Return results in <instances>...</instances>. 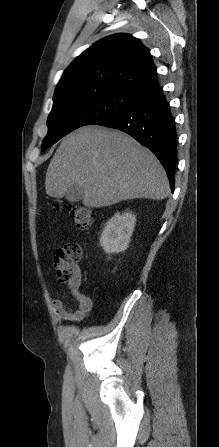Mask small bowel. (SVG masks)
I'll return each instance as SVG.
<instances>
[{
  "label": "small bowel",
  "mask_w": 219,
  "mask_h": 447,
  "mask_svg": "<svg viewBox=\"0 0 219 447\" xmlns=\"http://www.w3.org/2000/svg\"><path fill=\"white\" fill-rule=\"evenodd\" d=\"M70 292L74 299L78 302V307L76 309L67 307L63 300L59 298L52 299V305L57 313V315L66 321H81L89 314L92 309V300L87 295L83 294L78 289L69 287Z\"/></svg>",
  "instance_id": "c3829d8e"
}]
</instances>
